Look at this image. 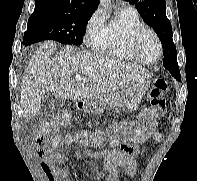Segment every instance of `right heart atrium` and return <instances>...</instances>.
<instances>
[{
    "instance_id": "obj_1",
    "label": "right heart atrium",
    "mask_w": 197,
    "mask_h": 181,
    "mask_svg": "<svg viewBox=\"0 0 197 181\" xmlns=\"http://www.w3.org/2000/svg\"><path fill=\"white\" fill-rule=\"evenodd\" d=\"M104 17L102 12L97 9L95 10L87 21L85 29V38L91 42L102 27Z\"/></svg>"
}]
</instances>
